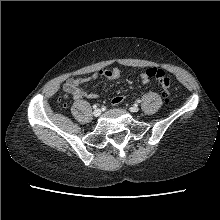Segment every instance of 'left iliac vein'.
Segmentation results:
<instances>
[{"mask_svg": "<svg viewBox=\"0 0 220 220\" xmlns=\"http://www.w3.org/2000/svg\"><path fill=\"white\" fill-rule=\"evenodd\" d=\"M130 111L135 113V112H138V111H139V108H138L137 105H133V106L130 108Z\"/></svg>", "mask_w": 220, "mask_h": 220, "instance_id": "left-iliac-vein-1", "label": "left iliac vein"}]
</instances>
